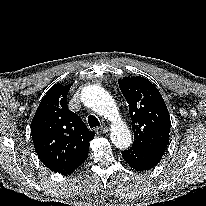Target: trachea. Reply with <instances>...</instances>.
Segmentation results:
<instances>
[{
    "instance_id": "1",
    "label": "trachea",
    "mask_w": 206,
    "mask_h": 206,
    "mask_svg": "<svg viewBox=\"0 0 206 206\" xmlns=\"http://www.w3.org/2000/svg\"><path fill=\"white\" fill-rule=\"evenodd\" d=\"M88 124H89L90 128L100 126L98 119L93 115L88 116Z\"/></svg>"
}]
</instances>
